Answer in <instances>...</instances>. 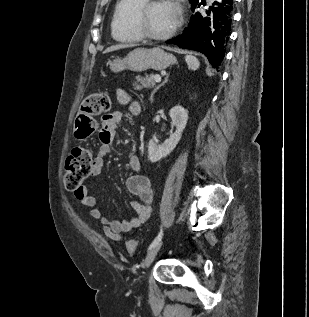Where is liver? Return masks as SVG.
<instances>
[{
  "label": "liver",
  "mask_w": 309,
  "mask_h": 317,
  "mask_svg": "<svg viewBox=\"0 0 309 317\" xmlns=\"http://www.w3.org/2000/svg\"><path fill=\"white\" fill-rule=\"evenodd\" d=\"M134 45H131V44H118V45H113L111 47H108L104 53H109V52H113V51H116V50H119V49H124V48H129V47H132Z\"/></svg>",
  "instance_id": "1"
}]
</instances>
